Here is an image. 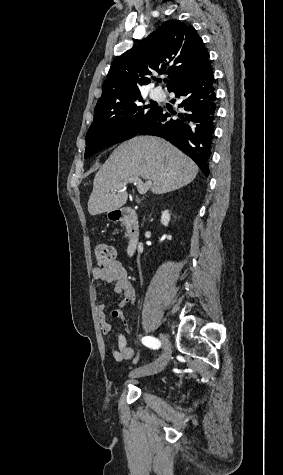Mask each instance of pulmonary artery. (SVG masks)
Returning a JSON list of instances; mask_svg holds the SVG:
<instances>
[{
	"label": "pulmonary artery",
	"mask_w": 283,
	"mask_h": 475,
	"mask_svg": "<svg viewBox=\"0 0 283 475\" xmlns=\"http://www.w3.org/2000/svg\"><path fill=\"white\" fill-rule=\"evenodd\" d=\"M152 94H153L154 96H159V95L161 94V89H160L159 87H154V88L152 89Z\"/></svg>",
	"instance_id": "1"
}]
</instances>
